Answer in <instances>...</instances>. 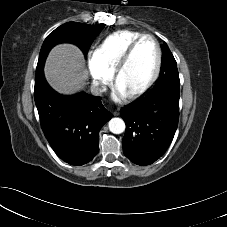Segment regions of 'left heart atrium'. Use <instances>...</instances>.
Masks as SVG:
<instances>
[{"label": "left heart atrium", "mask_w": 227, "mask_h": 227, "mask_svg": "<svg viewBox=\"0 0 227 227\" xmlns=\"http://www.w3.org/2000/svg\"><path fill=\"white\" fill-rule=\"evenodd\" d=\"M125 95L126 94L119 87H116V91H115V94H114L115 99L123 98Z\"/></svg>", "instance_id": "39dd6f15"}]
</instances>
